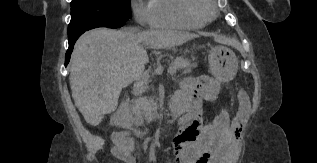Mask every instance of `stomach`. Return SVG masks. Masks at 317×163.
<instances>
[{
  "mask_svg": "<svg viewBox=\"0 0 317 163\" xmlns=\"http://www.w3.org/2000/svg\"><path fill=\"white\" fill-rule=\"evenodd\" d=\"M212 75L219 81L233 78L238 69V59L235 53L224 46L212 47L208 56Z\"/></svg>",
  "mask_w": 317,
  "mask_h": 163,
  "instance_id": "obj_1",
  "label": "stomach"
}]
</instances>
